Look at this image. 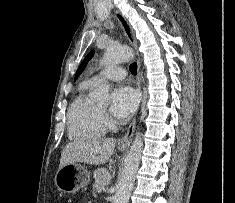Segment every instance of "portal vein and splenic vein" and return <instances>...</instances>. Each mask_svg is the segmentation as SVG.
<instances>
[{
  "label": "portal vein and splenic vein",
  "mask_w": 235,
  "mask_h": 203,
  "mask_svg": "<svg viewBox=\"0 0 235 203\" xmlns=\"http://www.w3.org/2000/svg\"><path fill=\"white\" fill-rule=\"evenodd\" d=\"M101 191H102V188H101V187L97 188V192H98V193H101Z\"/></svg>",
  "instance_id": "portal-vein-and-splenic-vein-1"
}]
</instances>
